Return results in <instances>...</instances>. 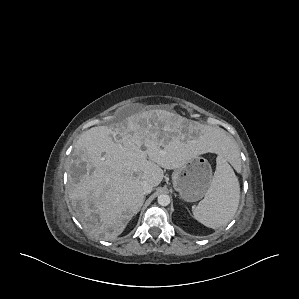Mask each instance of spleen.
I'll return each instance as SVG.
<instances>
[{"instance_id": "1", "label": "spleen", "mask_w": 299, "mask_h": 299, "mask_svg": "<svg viewBox=\"0 0 299 299\" xmlns=\"http://www.w3.org/2000/svg\"><path fill=\"white\" fill-rule=\"evenodd\" d=\"M239 199V181L228 163V155L221 152L217 157L211 186L204 199L194 208L193 217L206 227L220 228L233 218Z\"/></svg>"}]
</instances>
